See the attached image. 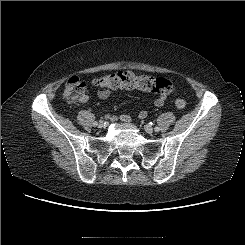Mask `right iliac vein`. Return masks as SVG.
Instances as JSON below:
<instances>
[{
    "label": "right iliac vein",
    "instance_id": "obj_1",
    "mask_svg": "<svg viewBox=\"0 0 245 245\" xmlns=\"http://www.w3.org/2000/svg\"><path fill=\"white\" fill-rule=\"evenodd\" d=\"M97 126H98V128H100V129H103V128L106 127L105 123L102 122V121H100V122L97 124Z\"/></svg>",
    "mask_w": 245,
    "mask_h": 245
}]
</instances>
